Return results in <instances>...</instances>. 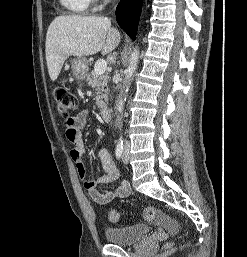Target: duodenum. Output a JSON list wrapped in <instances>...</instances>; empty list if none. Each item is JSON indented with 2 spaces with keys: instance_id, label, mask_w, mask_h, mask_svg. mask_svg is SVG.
Here are the masks:
<instances>
[{
  "instance_id": "obj_1",
  "label": "duodenum",
  "mask_w": 247,
  "mask_h": 257,
  "mask_svg": "<svg viewBox=\"0 0 247 257\" xmlns=\"http://www.w3.org/2000/svg\"><path fill=\"white\" fill-rule=\"evenodd\" d=\"M101 116L105 121L111 120L112 111L111 108L108 106H104L101 108Z\"/></svg>"
}]
</instances>
